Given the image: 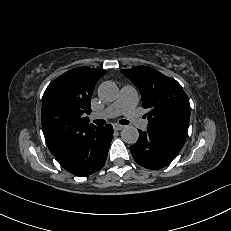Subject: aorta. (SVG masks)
<instances>
[{"instance_id":"aorta-1","label":"aorta","mask_w":231,"mask_h":231,"mask_svg":"<svg viewBox=\"0 0 231 231\" xmlns=\"http://www.w3.org/2000/svg\"><path fill=\"white\" fill-rule=\"evenodd\" d=\"M118 93L117 85L112 81H105L98 88V96L104 101H113ZM121 138L125 143L135 144L139 138V132L134 126H125L121 131Z\"/></svg>"}]
</instances>
